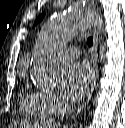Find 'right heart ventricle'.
<instances>
[{
  "label": "right heart ventricle",
  "mask_w": 125,
  "mask_h": 128,
  "mask_svg": "<svg viewBox=\"0 0 125 128\" xmlns=\"http://www.w3.org/2000/svg\"><path fill=\"white\" fill-rule=\"evenodd\" d=\"M19 106L23 115L34 119H47L52 114L43 95L39 91L24 89Z\"/></svg>",
  "instance_id": "1"
}]
</instances>
